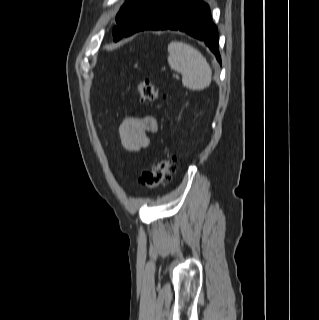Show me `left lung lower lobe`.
<instances>
[{
    "mask_svg": "<svg viewBox=\"0 0 319 320\" xmlns=\"http://www.w3.org/2000/svg\"><path fill=\"white\" fill-rule=\"evenodd\" d=\"M179 30L198 39L221 63L219 39L208 5L199 0H158L131 26L125 36L143 30Z\"/></svg>",
    "mask_w": 319,
    "mask_h": 320,
    "instance_id": "obj_1",
    "label": "left lung lower lobe"
}]
</instances>
